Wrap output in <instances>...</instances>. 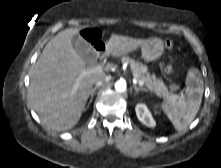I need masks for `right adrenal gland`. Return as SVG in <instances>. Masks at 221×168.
Wrapping results in <instances>:
<instances>
[{"instance_id":"right-adrenal-gland-1","label":"right adrenal gland","mask_w":221,"mask_h":168,"mask_svg":"<svg viewBox=\"0 0 221 168\" xmlns=\"http://www.w3.org/2000/svg\"><path fill=\"white\" fill-rule=\"evenodd\" d=\"M97 88H98V86H95V87L91 90V92H90V95H91L90 101H89V103H88V105H87L86 108H88L89 105L91 104V102H92V100H93L94 93H95V91H96Z\"/></svg>"}]
</instances>
